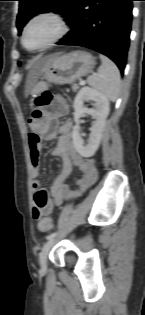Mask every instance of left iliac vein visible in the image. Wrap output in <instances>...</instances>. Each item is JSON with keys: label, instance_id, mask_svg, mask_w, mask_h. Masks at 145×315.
Masks as SVG:
<instances>
[{"label": "left iliac vein", "instance_id": "obj_1", "mask_svg": "<svg viewBox=\"0 0 145 315\" xmlns=\"http://www.w3.org/2000/svg\"><path fill=\"white\" fill-rule=\"evenodd\" d=\"M55 243V239H51L49 240L45 245L44 247L42 248L41 252H40V255H39V264H40V267L42 270H46L47 268V257H48V254L51 250V248L53 247Z\"/></svg>", "mask_w": 145, "mask_h": 315}]
</instances>
